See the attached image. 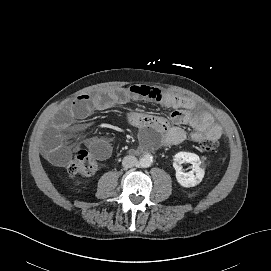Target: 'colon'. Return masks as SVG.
I'll use <instances>...</instances> for the list:
<instances>
[{"label": "colon", "mask_w": 271, "mask_h": 271, "mask_svg": "<svg viewBox=\"0 0 271 271\" xmlns=\"http://www.w3.org/2000/svg\"><path fill=\"white\" fill-rule=\"evenodd\" d=\"M219 145L218 139L214 137L203 138L199 146L203 151H213ZM66 170L71 175L90 176L97 170V162L86 150H77L72 159L66 164Z\"/></svg>", "instance_id": "5ec220e1"}]
</instances>
